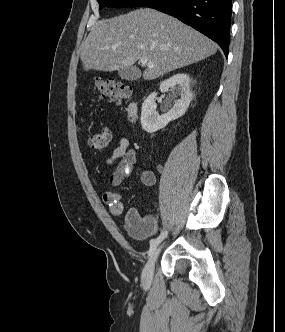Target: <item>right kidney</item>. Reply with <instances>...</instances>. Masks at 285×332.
I'll use <instances>...</instances> for the list:
<instances>
[{"label":"right kidney","instance_id":"obj_1","mask_svg":"<svg viewBox=\"0 0 285 332\" xmlns=\"http://www.w3.org/2000/svg\"><path fill=\"white\" fill-rule=\"evenodd\" d=\"M190 77L186 73H179L166 79L160 84L161 92L171 91L172 97L180 96L171 110L159 115L156 112V92L151 93L143 102L141 109V126L148 133H154L172 121L180 118L187 111L192 100L190 91Z\"/></svg>","mask_w":285,"mask_h":332}]
</instances>
